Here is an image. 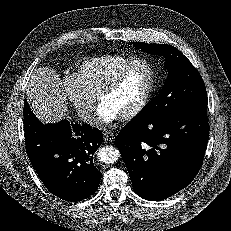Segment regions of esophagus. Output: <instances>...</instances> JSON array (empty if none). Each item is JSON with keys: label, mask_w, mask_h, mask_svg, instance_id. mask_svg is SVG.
<instances>
[{"label": "esophagus", "mask_w": 231, "mask_h": 231, "mask_svg": "<svg viewBox=\"0 0 231 231\" xmlns=\"http://www.w3.org/2000/svg\"><path fill=\"white\" fill-rule=\"evenodd\" d=\"M115 139V134L111 131L104 132V140L105 142H113Z\"/></svg>", "instance_id": "obj_1"}]
</instances>
